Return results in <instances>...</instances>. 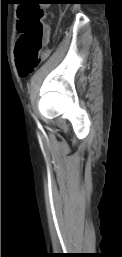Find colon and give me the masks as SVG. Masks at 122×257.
<instances>
[{
  "label": "colon",
  "mask_w": 122,
  "mask_h": 257,
  "mask_svg": "<svg viewBox=\"0 0 122 257\" xmlns=\"http://www.w3.org/2000/svg\"><path fill=\"white\" fill-rule=\"evenodd\" d=\"M41 5H20L19 37L16 42V63L20 74L29 73L40 61L47 41V29L42 22Z\"/></svg>",
  "instance_id": "1"
}]
</instances>
